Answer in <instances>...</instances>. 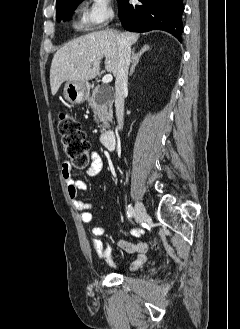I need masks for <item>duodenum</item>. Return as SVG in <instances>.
Listing matches in <instances>:
<instances>
[{
	"mask_svg": "<svg viewBox=\"0 0 240 329\" xmlns=\"http://www.w3.org/2000/svg\"><path fill=\"white\" fill-rule=\"evenodd\" d=\"M100 142L107 150H112L115 144V132L113 130H106L101 134Z\"/></svg>",
	"mask_w": 240,
	"mask_h": 329,
	"instance_id": "410a0bca",
	"label": "duodenum"
}]
</instances>
